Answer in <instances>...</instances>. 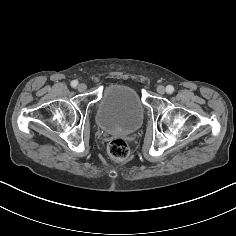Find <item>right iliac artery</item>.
Segmentation results:
<instances>
[{"label":"right iliac artery","mask_w":236,"mask_h":236,"mask_svg":"<svg viewBox=\"0 0 236 236\" xmlns=\"http://www.w3.org/2000/svg\"><path fill=\"white\" fill-rule=\"evenodd\" d=\"M78 85V82L76 81V80H73L72 82H71V86L72 87H76Z\"/></svg>","instance_id":"82829eb1"}]
</instances>
